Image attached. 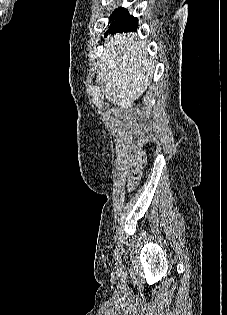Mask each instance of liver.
Masks as SVG:
<instances>
[{"label": "liver", "mask_w": 227, "mask_h": 315, "mask_svg": "<svg viewBox=\"0 0 227 315\" xmlns=\"http://www.w3.org/2000/svg\"><path fill=\"white\" fill-rule=\"evenodd\" d=\"M100 62L97 81L105 84L106 99L127 111L145 92L153 73L144 44L135 34H116L106 41Z\"/></svg>", "instance_id": "obj_1"}]
</instances>
